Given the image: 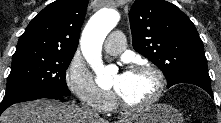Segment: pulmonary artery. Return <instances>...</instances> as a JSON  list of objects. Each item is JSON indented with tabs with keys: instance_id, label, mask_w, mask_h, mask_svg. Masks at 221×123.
<instances>
[{
	"instance_id": "e3ab8cb5",
	"label": "pulmonary artery",
	"mask_w": 221,
	"mask_h": 123,
	"mask_svg": "<svg viewBox=\"0 0 221 123\" xmlns=\"http://www.w3.org/2000/svg\"><path fill=\"white\" fill-rule=\"evenodd\" d=\"M125 37L121 31L112 32L104 43V49L111 55H117L125 49Z\"/></svg>"
}]
</instances>
